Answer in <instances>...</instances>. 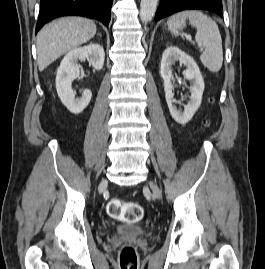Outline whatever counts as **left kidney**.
<instances>
[{"instance_id": "obj_1", "label": "left kidney", "mask_w": 265, "mask_h": 269, "mask_svg": "<svg viewBox=\"0 0 265 269\" xmlns=\"http://www.w3.org/2000/svg\"><path fill=\"white\" fill-rule=\"evenodd\" d=\"M175 61H179L187 67L185 71V78L191 80L190 86V101L184 106V111L178 110L173 106V84L171 82L172 69L171 66ZM160 74L164 80V91L166 102L173 119L184 125L191 120L195 112L201 105V99L205 88L204 80L195 60L180 50L178 47L169 46L162 54Z\"/></svg>"}]
</instances>
